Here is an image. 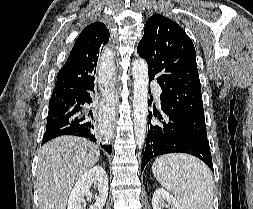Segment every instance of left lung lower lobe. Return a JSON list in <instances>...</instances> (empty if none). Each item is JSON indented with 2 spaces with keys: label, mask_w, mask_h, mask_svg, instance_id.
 I'll return each instance as SVG.
<instances>
[{
  "label": "left lung lower lobe",
  "mask_w": 253,
  "mask_h": 209,
  "mask_svg": "<svg viewBox=\"0 0 253 209\" xmlns=\"http://www.w3.org/2000/svg\"><path fill=\"white\" fill-rule=\"evenodd\" d=\"M151 101L148 102V106ZM164 115L157 112H149L148 134L145 152L143 154L141 172L146 164L156 156L167 153H188L194 155L205 162L213 171V163L206 137H203L193 130L185 127L172 115L166 113ZM152 115L158 116L159 123L152 124Z\"/></svg>",
  "instance_id": "left-lung-lower-lobe-1"
}]
</instances>
